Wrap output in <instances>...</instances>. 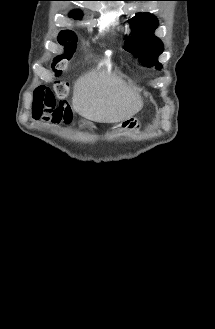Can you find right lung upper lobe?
Returning a JSON list of instances; mask_svg holds the SVG:
<instances>
[{
	"label": "right lung upper lobe",
	"instance_id": "1",
	"mask_svg": "<svg viewBox=\"0 0 215 329\" xmlns=\"http://www.w3.org/2000/svg\"><path fill=\"white\" fill-rule=\"evenodd\" d=\"M70 15L74 18H80L82 16V13H81V11L74 10L73 12H71Z\"/></svg>",
	"mask_w": 215,
	"mask_h": 329
}]
</instances>
